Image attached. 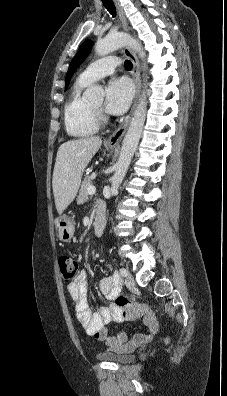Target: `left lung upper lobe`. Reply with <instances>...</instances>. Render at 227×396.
Returning <instances> with one entry per match:
<instances>
[{
  "instance_id": "obj_1",
  "label": "left lung upper lobe",
  "mask_w": 227,
  "mask_h": 396,
  "mask_svg": "<svg viewBox=\"0 0 227 396\" xmlns=\"http://www.w3.org/2000/svg\"><path fill=\"white\" fill-rule=\"evenodd\" d=\"M91 47H92V41L91 40L85 41L80 46L76 56L74 57V59L72 60V62L69 65V69H68V72H67V75H66V87H65V89H67L69 81H70L73 73L75 72V70L78 68V66L84 61V59L89 54Z\"/></svg>"
}]
</instances>
